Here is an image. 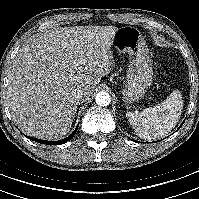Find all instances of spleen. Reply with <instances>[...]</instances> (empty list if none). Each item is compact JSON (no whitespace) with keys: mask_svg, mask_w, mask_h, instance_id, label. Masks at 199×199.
I'll return each instance as SVG.
<instances>
[{"mask_svg":"<svg viewBox=\"0 0 199 199\" xmlns=\"http://www.w3.org/2000/svg\"><path fill=\"white\" fill-rule=\"evenodd\" d=\"M183 101L180 91H173L160 104L144 109L142 112H128L127 118L136 134L145 140L164 137L180 119Z\"/></svg>","mask_w":199,"mask_h":199,"instance_id":"3e777b00","label":"spleen"}]
</instances>
